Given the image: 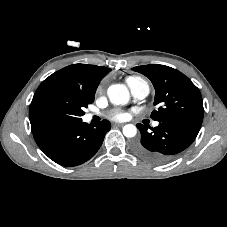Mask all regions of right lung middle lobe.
Instances as JSON below:
<instances>
[{
  "instance_id": "right-lung-middle-lobe-1",
  "label": "right lung middle lobe",
  "mask_w": 227,
  "mask_h": 227,
  "mask_svg": "<svg viewBox=\"0 0 227 227\" xmlns=\"http://www.w3.org/2000/svg\"><path fill=\"white\" fill-rule=\"evenodd\" d=\"M94 101L65 83L45 79L36 90L29 109L31 128L39 129L81 120L84 108Z\"/></svg>"
}]
</instances>
